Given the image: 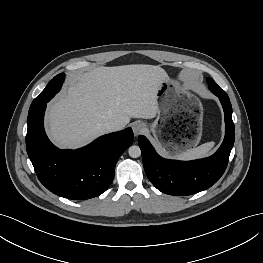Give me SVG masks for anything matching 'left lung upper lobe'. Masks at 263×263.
Segmentation results:
<instances>
[{
    "instance_id": "left-lung-upper-lobe-1",
    "label": "left lung upper lobe",
    "mask_w": 263,
    "mask_h": 263,
    "mask_svg": "<svg viewBox=\"0 0 263 263\" xmlns=\"http://www.w3.org/2000/svg\"><path fill=\"white\" fill-rule=\"evenodd\" d=\"M209 81V88L210 89H217V88H220L215 82L213 79H208Z\"/></svg>"
}]
</instances>
